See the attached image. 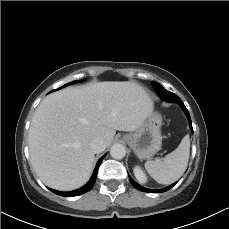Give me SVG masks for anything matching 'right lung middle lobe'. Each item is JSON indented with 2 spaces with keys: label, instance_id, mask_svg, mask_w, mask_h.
Segmentation results:
<instances>
[{
  "label": "right lung middle lobe",
  "instance_id": "right-lung-middle-lobe-1",
  "mask_svg": "<svg viewBox=\"0 0 229 229\" xmlns=\"http://www.w3.org/2000/svg\"><path fill=\"white\" fill-rule=\"evenodd\" d=\"M76 82V81H75ZM75 82H71V83H68V84H66V85H64V86H68V85H70V84H72V83H75ZM64 86H62L61 88H63ZM61 88H59V89H61ZM54 91V90H53Z\"/></svg>",
  "mask_w": 229,
  "mask_h": 229
}]
</instances>
